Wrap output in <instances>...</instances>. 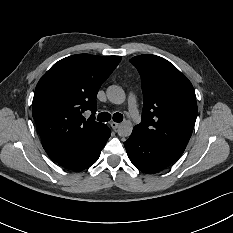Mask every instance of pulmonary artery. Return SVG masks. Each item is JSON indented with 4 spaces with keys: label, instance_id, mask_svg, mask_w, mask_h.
<instances>
[{
    "label": "pulmonary artery",
    "instance_id": "obj_1",
    "mask_svg": "<svg viewBox=\"0 0 233 233\" xmlns=\"http://www.w3.org/2000/svg\"><path fill=\"white\" fill-rule=\"evenodd\" d=\"M129 103V117L132 119L134 126H142L144 124V117L141 115V110L137 108V98L133 92L128 94Z\"/></svg>",
    "mask_w": 233,
    "mask_h": 233
}]
</instances>
